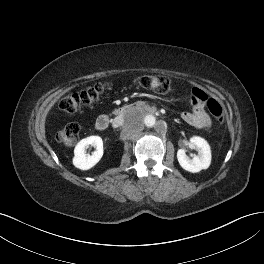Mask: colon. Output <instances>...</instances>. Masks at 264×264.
Here are the masks:
<instances>
[{"label": "colon", "instance_id": "colon-1", "mask_svg": "<svg viewBox=\"0 0 264 264\" xmlns=\"http://www.w3.org/2000/svg\"><path fill=\"white\" fill-rule=\"evenodd\" d=\"M136 84L147 90L159 94H166L173 91L171 81L162 76L146 75L135 80ZM109 88L108 83H100L80 92L71 93L61 99L59 108L67 114H76L85 108L96 104L103 93ZM207 109L216 121H224V110L219 102L214 99L207 101ZM80 128L76 123H70L58 131L56 138L64 146H73L79 139Z\"/></svg>", "mask_w": 264, "mask_h": 264}]
</instances>
